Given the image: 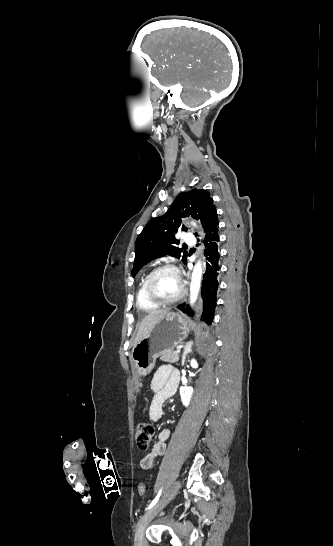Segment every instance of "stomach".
Wrapping results in <instances>:
<instances>
[{
	"label": "stomach",
	"mask_w": 333,
	"mask_h": 546,
	"mask_svg": "<svg viewBox=\"0 0 333 546\" xmlns=\"http://www.w3.org/2000/svg\"><path fill=\"white\" fill-rule=\"evenodd\" d=\"M188 332V323L180 314L167 313L149 334L134 346L132 359L137 372L142 376L149 374L155 366L156 359L177 346L187 337Z\"/></svg>",
	"instance_id": "obj_1"
}]
</instances>
